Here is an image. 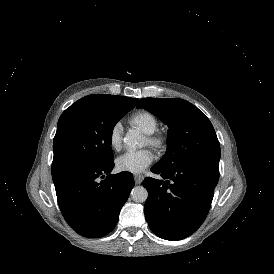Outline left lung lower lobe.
I'll list each match as a JSON object with an SVG mask.
<instances>
[{
	"label": "left lung lower lobe",
	"instance_id": "obj_1",
	"mask_svg": "<svg viewBox=\"0 0 274 274\" xmlns=\"http://www.w3.org/2000/svg\"><path fill=\"white\" fill-rule=\"evenodd\" d=\"M151 171L161 180L146 177L145 218L160 238L180 240L195 232L205 220L219 180V166L191 163L173 168L155 164Z\"/></svg>",
	"mask_w": 274,
	"mask_h": 274
}]
</instances>
